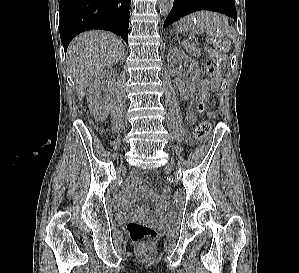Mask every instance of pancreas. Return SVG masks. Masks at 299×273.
<instances>
[{
  "instance_id": "1",
  "label": "pancreas",
  "mask_w": 299,
  "mask_h": 273,
  "mask_svg": "<svg viewBox=\"0 0 299 273\" xmlns=\"http://www.w3.org/2000/svg\"><path fill=\"white\" fill-rule=\"evenodd\" d=\"M186 49L189 53H191L193 56H196V57H199L200 56V51L195 48L194 46L192 45H188L186 46Z\"/></svg>"
}]
</instances>
